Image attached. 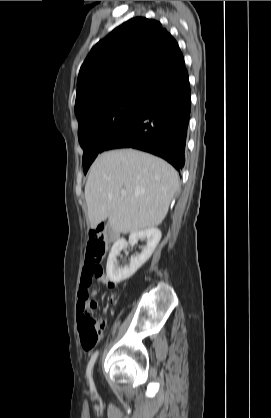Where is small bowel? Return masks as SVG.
Masks as SVG:
<instances>
[{
	"mask_svg": "<svg viewBox=\"0 0 271 418\" xmlns=\"http://www.w3.org/2000/svg\"><path fill=\"white\" fill-rule=\"evenodd\" d=\"M86 275H87V266L85 265V267L82 271L81 285H80V290H79V293H78V297H79V302H78V311L79 312H78V315H79L80 311L85 308V306H88L91 311L97 306V302L95 300L84 301L83 298H82V295H83L84 291H86L87 287H89V285H86V283L84 281ZM98 280L102 283H105L109 287L114 286V284L112 282H110L109 280H107L105 278V276L99 278Z\"/></svg>",
	"mask_w": 271,
	"mask_h": 418,
	"instance_id": "c3829d8e",
	"label": "small bowel"
}]
</instances>
